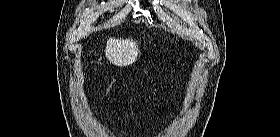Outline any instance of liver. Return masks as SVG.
Returning <instances> with one entry per match:
<instances>
[{
    "mask_svg": "<svg viewBox=\"0 0 280 137\" xmlns=\"http://www.w3.org/2000/svg\"><path fill=\"white\" fill-rule=\"evenodd\" d=\"M140 51L133 39L109 38L107 41L105 56L113 64L119 67L127 66L137 60Z\"/></svg>",
    "mask_w": 280,
    "mask_h": 137,
    "instance_id": "obj_1",
    "label": "liver"
}]
</instances>
